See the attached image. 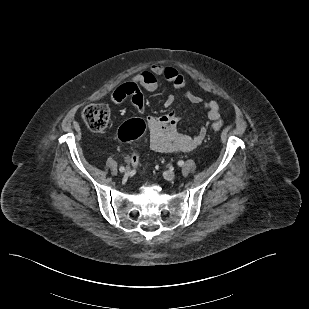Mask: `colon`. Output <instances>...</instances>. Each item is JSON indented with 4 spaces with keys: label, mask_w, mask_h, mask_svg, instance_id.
<instances>
[{
    "label": "colon",
    "mask_w": 309,
    "mask_h": 309,
    "mask_svg": "<svg viewBox=\"0 0 309 309\" xmlns=\"http://www.w3.org/2000/svg\"><path fill=\"white\" fill-rule=\"evenodd\" d=\"M82 118L85 124L94 132H102L106 129L110 120V109L104 104H90L82 111ZM222 122H215L213 130L218 131L222 128ZM146 124L141 119H131L125 122L119 130V138L123 142L139 140L145 133ZM134 166L138 164V153L134 151L130 156Z\"/></svg>",
    "instance_id": "colon-1"
}]
</instances>
